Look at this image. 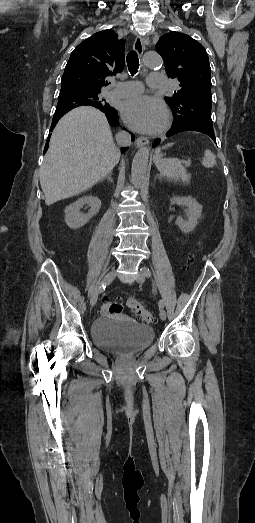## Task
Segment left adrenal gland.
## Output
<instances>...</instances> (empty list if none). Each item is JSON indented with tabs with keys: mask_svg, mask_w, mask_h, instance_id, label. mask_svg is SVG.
Returning a JSON list of instances; mask_svg holds the SVG:
<instances>
[{
	"mask_svg": "<svg viewBox=\"0 0 255 523\" xmlns=\"http://www.w3.org/2000/svg\"><path fill=\"white\" fill-rule=\"evenodd\" d=\"M156 178H161V176H159V174H157Z\"/></svg>",
	"mask_w": 255,
	"mask_h": 523,
	"instance_id": "left-adrenal-gland-1",
	"label": "left adrenal gland"
}]
</instances>
